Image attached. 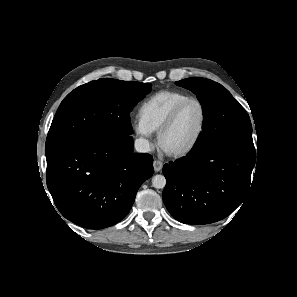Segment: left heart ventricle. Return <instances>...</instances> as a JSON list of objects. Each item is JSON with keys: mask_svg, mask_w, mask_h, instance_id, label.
Here are the masks:
<instances>
[{"mask_svg": "<svg viewBox=\"0 0 297 297\" xmlns=\"http://www.w3.org/2000/svg\"><path fill=\"white\" fill-rule=\"evenodd\" d=\"M201 122V109L195 102L186 105L175 124L163 136L162 147L167 151H177L186 147L194 138Z\"/></svg>", "mask_w": 297, "mask_h": 297, "instance_id": "b2bd125f", "label": "left heart ventricle"}]
</instances>
